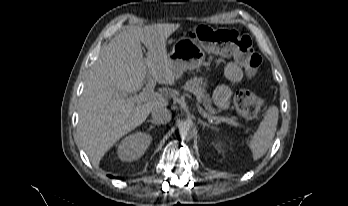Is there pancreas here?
<instances>
[{"instance_id":"pancreas-1","label":"pancreas","mask_w":348,"mask_h":206,"mask_svg":"<svg viewBox=\"0 0 348 206\" xmlns=\"http://www.w3.org/2000/svg\"><path fill=\"white\" fill-rule=\"evenodd\" d=\"M183 89L185 91L192 92L194 95H196L197 98L203 103V106L209 113H215L214 108L211 106L210 95L206 92V89L202 86L200 79L195 77L193 79L188 80L183 86ZM230 120L232 121V123H229V124L234 126L238 125V122L234 118H231Z\"/></svg>"}]
</instances>
